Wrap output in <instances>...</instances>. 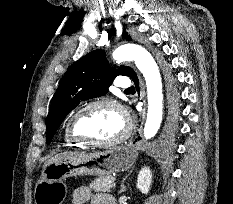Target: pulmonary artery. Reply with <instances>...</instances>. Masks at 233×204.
<instances>
[{"instance_id": "e3ab8cb5", "label": "pulmonary artery", "mask_w": 233, "mask_h": 204, "mask_svg": "<svg viewBox=\"0 0 233 204\" xmlns=\"http://www.w3.org/2000/svg\"><path fill=\"white\" fill-rule=\"evenodd\" d=\"M131 84H132L131 79L127 76H121L117 82V85L123 89L129 88Z\"/></svg>"}]
</instances>
